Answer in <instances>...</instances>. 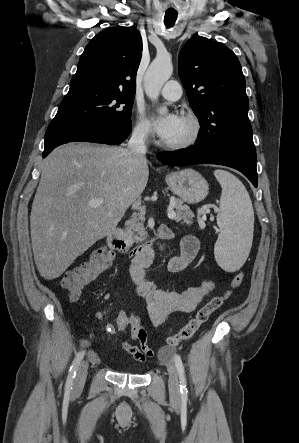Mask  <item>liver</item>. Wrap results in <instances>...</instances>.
Segmentation results:
<instances>
[{"label":"liver","mask_w":299,"mask_h":443,"mask_svg":"<svg viewBox=\"0 0 299 443\" xmlns=\"http://www.w3.org/2000/svg\"><path fill=\"white\" fill-rule=\"evenodd\" d=\"M147 160L123 147L69 143L42 163L31 216V242L40 275L52 280L112 231L140 197ZM103 199L98 207L92 200Z\"/></svg>","instance_id":"1"}]
</instances>
